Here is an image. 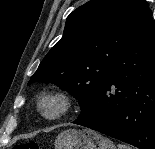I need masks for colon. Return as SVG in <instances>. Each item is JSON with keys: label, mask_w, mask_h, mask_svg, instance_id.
<instances>
[{"label": "colon", "mask_w": 155, "mask_h": 149, "mask_svg": "<svg viewBox=\"0 0 155 149\" xmlns=\"http://www.w3.org/2000/svg\"><path fill=\"white\" fill-rule=\"evenodd\" d=\"M14 149H39V145L36 142L20 143L15 145Z\"/></svg>", "instance_id": "colon-1"}]
</instances>
